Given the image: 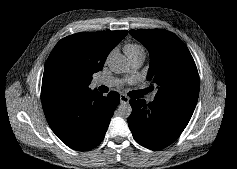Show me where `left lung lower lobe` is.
<instances>
[{
    "label": "left lung lower lobe",
    "mask_w": 237,
    "mask_h": 169,
    "mask_svg": "<svg viewBox=\"0 0 237 169\" xmlns=\"http://www.w3.org/2000/svg\"><path fill=\"white\" fill-rule=\"evenodd\" d=\"M128 124L134 139L142 146L160 150L173 143L187 126L196 105L179 101L131 99Z\"/></svg>",
    "instance_id": "left-lung-lower-lobe-1"
}]
</instances>
